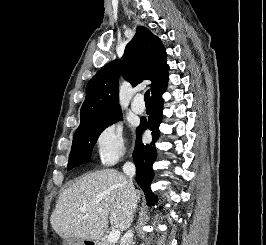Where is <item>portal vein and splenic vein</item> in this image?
I'll list each match as a JSON object with an SVG mask.
<instances>
[{"label": "portal vein and splenic vein", "mask_w": 266, "mask_h": 245, "mask_svg": "<svg viewBox=\"0 0 266 245\" xmlns=\"http://www.w3.org/2000/svg\"><path fill=\"white\" fill-rule=\"evenodd\" d=\"M97 211H102V209H97ZM82 213H86V209H82ZM120 239V231L118 229H113L108 235V243H116Z\"/></svg>", "instance_id": "18ae733b"}]
</instances>
